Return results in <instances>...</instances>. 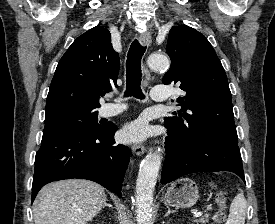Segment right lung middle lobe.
<instances>
[{"label": "right lung middle lobe", "mask_w": 275, "mask_h": 224, "mask_svg": "<svg viewBox=\"0 0 275 224\" xmlns=\"http://www.w3.org/2000/svg\"><path fill=\"white\" fill-rule=\"evenodd\" d=\"M96 108L76 106L63 107L45 114V128H71L81 131L97 132L104 126L98 124Z\"/></svg>", "instance_id": "1"}]
</instances>
